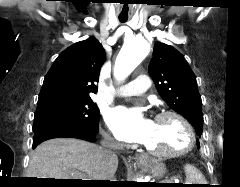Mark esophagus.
<instances>
[{
    "label": "esophagus",
    "instance_id": "1",
    "mask_svg": "<svg viewBox=\"0 0 240 187\" xmlns=\"http://www.w3.org/2000/svg\"><path fill=\"white\" fill-rule=\"evenodd\" d=\"M149 160V156L146 155V154H142V155H139L137 157V161L140 162V163H145Z\"/></svg>",
    "mask_w": 240,
    "mask_h": 187
}]
</instances>
